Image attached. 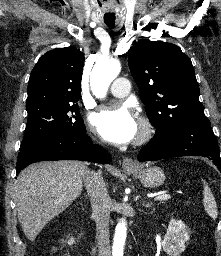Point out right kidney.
I'll return each mask as SVG.
<instances>
[{"instance_id": "ca27d5eb", "label": "right kidney", "mask_w": 221, "mask_h": 256, "mask_svg": "<svg viewBox=\"0 0 221 256\" xmlns=\"http://www.w3.org/2000/svg\"><path fill=\"white\" fill-rule=\"evenodd\" d=\"M75 243V239L73 237H71L69 240H68V244L69 245H73Z\"/></svg>"}]
</instances>
